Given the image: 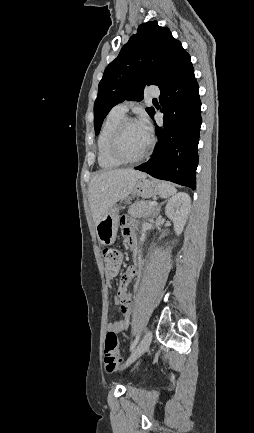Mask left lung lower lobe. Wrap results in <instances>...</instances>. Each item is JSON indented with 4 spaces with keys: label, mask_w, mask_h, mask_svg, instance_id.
<instances>
[{
    "label": "left lung lower lobe",
    "mask_w": 254,
    "mask_h": 433,
    "mask_svg": "<svg viewBox=\"0 0 254 433\" xmlns=\"http://www.w3.org/2000/svg\"><path fill=\"white\" fill-rule=\"evenodd\" d=\"M159 88L164 125L155 124L158 142L153 156L135 169L194 190L202 119L199 86L187 52Z\"/></svg>",
    "instance_id": "obj_1"
}]
</instances>
